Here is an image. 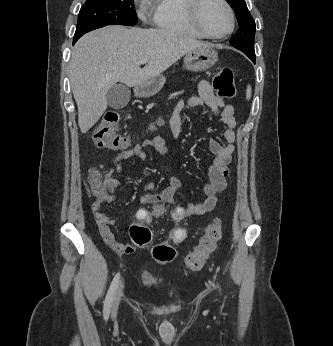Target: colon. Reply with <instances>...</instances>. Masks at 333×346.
<instances>
[{
    "label": "colon",
    "instance_id": "1",
    "mask_svg": "<svg viewBox=\"0 0 333 346\" xmlns=\"http://www.w3.org/2000/svg\"><path fill=\"white\" fill-rule=\"evenodd\" d=\"M213 88L218 97L232 99L236 95V87L233 71L224 67L217 71ZM120 120L118 112H107L100 121L93 134V141L98 148L108 150L125 149L130 145V140L125 135L117 133V125ZM88 186L93 195L102 197L107 193V184L105 178L101 176L98 170H92L88 175ZM145 217L144 213H141ZM183 216V210L177 211V217ZM222 224L220 220H215L206 229L194 247L193 251L186 257V267L189 271L200 270L208 255L216 248L217 243L222 236ZM130 238L136 246L148 247L152 239L151 230L141 224H134L129 227ZM186 233L183 229H177L172 234V242L181 243L185 239ZM153 259L159 264L171 263L176 257V250L171 242H162L154 245L151 250Z\"/></svg>",
    "mask_w": 333,
    "mask_h": 346
}]
</instances>
